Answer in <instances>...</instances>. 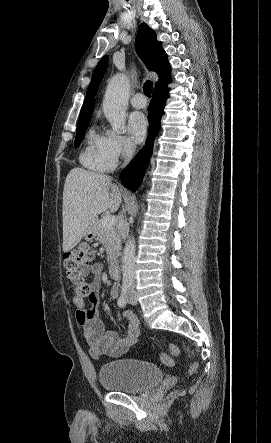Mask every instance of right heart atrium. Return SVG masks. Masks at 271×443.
Returning a JSON list of instances; mask_svg holds the SVG:
<instances>
[{
  "instance_id": "right-heart-atrium-1",
  "label": "right heart atrium",
  "mask_w": 271,
  "mask_h": 443,
  "mask_svg": "<svg viewBox=\"0 0 271 443\" xmlns=\"http://www.w3.org/2000/svg\"><path fill=\"white\" fill-rule=\"evenodd\" d=\"M133 151L134 146L129 137L113 131L106 133L105 152L113 163H116L120 158L131 154Z\"/></svg>"
}]
</instances>
